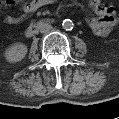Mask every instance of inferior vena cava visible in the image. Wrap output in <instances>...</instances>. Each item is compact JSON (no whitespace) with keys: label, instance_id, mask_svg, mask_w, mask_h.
<instances>
[{"label":"inferior vena cava","instance_id":"inferior-vena-cava-1","mask_svg":"<svg viewBox=\"0 0 119 119\" xmlns=\"http://www.w3.org/2000/svg\"><path fill=\"white\" fill-rule=\"evenodd\" d=\"M52 26L50 24H43L41 27H40V32L41 33H49L52 31Z\"/></svg>","mask_w":119,"mask_h":119}]
</instances>
